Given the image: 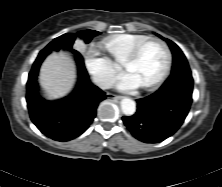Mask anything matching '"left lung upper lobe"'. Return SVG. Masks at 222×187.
<instances>
[{
    "mask_svg": "<svg viewBox=\"0 0 222 187\" xmlns=\"http://www.w3.org/2000/svg\"><path fill=\"white\" fill-rule=\"evenodd\" d=\"M173 54V66L170 76L180 73L184 70H190L187 59L181 49L171 40L165 39Z\"/></svg>",
    "mask_w": 222,
    "mask_h": 187,
    "instance_id": "obj_1",
    "label": "left lung upper lobe"
}]
</instances>
